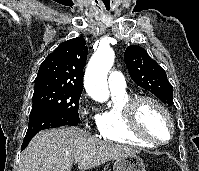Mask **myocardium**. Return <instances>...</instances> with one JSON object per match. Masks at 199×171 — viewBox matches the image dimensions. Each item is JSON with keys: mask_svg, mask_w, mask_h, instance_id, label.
Returning <instances> with one entry per match:
<instances>
[{"mask_svg": "<svg viewBox=\"0 0 199 171\" xmlns=\"http://www.w3.org/2000/svg\"><path fill=\"white\" fill-rule=\"evenodd\" d=\"M148 102L156 106L165 116L169 127H170V133L166 140L159 141L151 136H149L140 126L139 121V115H140V109L143 103ZM127 126L130 130V132L135 135L136 137L152 144L153 146H162L174 138L175 135V125L173 118L168 111V109L156 98L149 96V95H136L131 97L124 106Z\"/></svg>", "mask_w": 199, "mask_h": 171, "instance_id": "f54148a6", "label": "myocardium"}]
</instances>
